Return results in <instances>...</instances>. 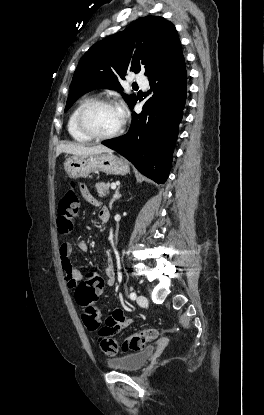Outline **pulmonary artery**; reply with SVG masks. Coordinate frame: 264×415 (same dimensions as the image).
I'll use <instances>...</instances> for the list:
<instances>
[{"label": "pulmonary artery", "mask_w": 264, "mask_h": 415, "mask_svg": "<svg viewBox=\"0 0 264 415\" xmlns=\"http://www.w3.org/2000/svg\"><path fill=\"white\" fill-rule=\"evenodd\" d=\"M134 81H135L137 84H140L143 88H145V87L147 86V80H146V78H145V77H143V76H135V77H134Z\"/></svg>", "instance_id": "1"}]
</instances>
